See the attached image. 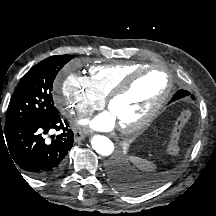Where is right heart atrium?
Wrapping results in <instances>:
<instances>
[{"label": "right heart atrium", "instance_id": "1", "mask_svg": "<svg viewBox=\"0 0 216 216\" xmlns=\"http://www.w3.org/2000/svg\"><path fill=\"white\" fill-rule=\"evenodd\" d=\"M53 100L67 118L89 114L104 105V99L93 89L89 78L75 73L61 77L54 89Z\"/></svg>", "mask_w": 216, "mask_h": 216}]
</instances>
